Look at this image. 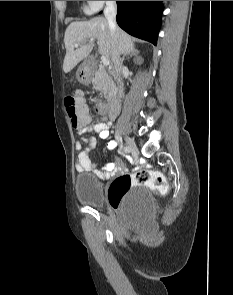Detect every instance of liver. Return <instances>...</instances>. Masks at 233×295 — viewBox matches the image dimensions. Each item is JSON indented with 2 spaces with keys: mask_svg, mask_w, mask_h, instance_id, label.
Here are the masks:
<instances>
[{
  "mask_svg": "<svg viewBox=\"0 0 233 295\" xmlns=\"http://www.w3.org/2000/svg\"><path fill=\"white\" fill-rule=\"evenodd\" d=\"M87 40H97L99 53L113 59L112 32L105 18L95 17L89 21L72 22L67 27L64 36L66 55L63 71L65 73H69L90 54L93 45L87 44ZM116 42L119 54L125 55L134 49L132 37L119 27L116 29ZM75 44H80V47L76 50L74 49Z\"/></svg>",
  "mask_w": 233,
  "mask_h": 295,
  "instance_id": "1",
  "label": "liver"
}]
</instances>
